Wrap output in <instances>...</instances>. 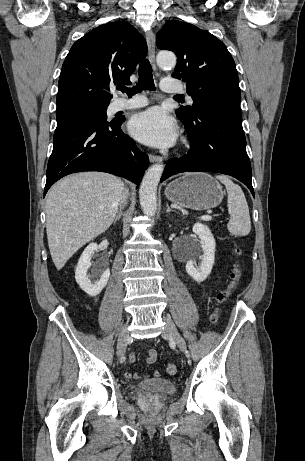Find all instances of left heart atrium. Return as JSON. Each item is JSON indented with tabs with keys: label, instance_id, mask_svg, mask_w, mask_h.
<instances>
[{
	"label": "left heart atrium",
	"instance_id": "obj_1",
	"mask_svg": "<svg viewBox=\"0 0 305 461\" xmlns=\"http://www.w3.org/2000/svg\"><path fill=\"white\" fill-rule=\"evenodd\" d=\"M129 127L136 139L150 146L167 147L177 138L173 119L160 107H153L135 115Z\"/></svg>",
	"mask_w": 305,
	"mask_h": 461
}]
</instances>
